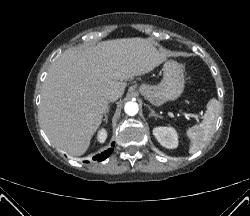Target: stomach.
Returning <instances> with one entry per match:
<instances>
[{"instance_id":"1","label":"stomach","mask_w":250,"mask_h":216,"mask_svg":"<svg viewBox=\"0 0 250 216\" xmlns=\"http://www.w3.org/2000/svg\"><path fill=\"white\" fill-rule=\"evenodd\" d=\"M185 77L183 68L176 61H167L163 66V79L159 84L143 83L139 92L154 106L176 100L183 93Z\"/></svg>"}]
</instances>
